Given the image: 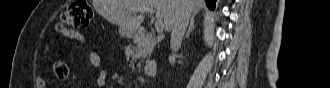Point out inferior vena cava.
<instances>
[{"instance_id":"obj_1","label":"inferior vena cava","mask_w":330,"mask_h":88,"mask_svg":"<svg viewBox=\"0 0 330 88\" xmlns=\"http://www.w3.org/2000/svg\"><path fill=\"white\" fill-rule=\"evenodd\" d=\"M191 14L190 9L182 10L173 24L170 41L173 58L176 57V52L181 47Z\"/></svg>"}]
</instances>
